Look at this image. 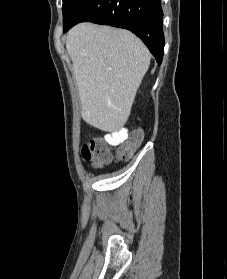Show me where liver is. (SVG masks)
Returning <instances> with one entry per match:
<instances>
[{
    "label": "liver",
    "instance_id": "6515ba94",
    "mask_svg": "<svg viewBox=\"0 0 227 279\" xmlns=\"http://www.w3.org/2000/svg\"><path fill=\"white\" fill-rule=\"evenodd\" d=\"M83 120L116 132L126 123L136 92L150 65V53L133 33L80 23L68 32Z\"/></svg>",
    "mask_w": 227,
    "mask_h": 279
}]
</instances>
